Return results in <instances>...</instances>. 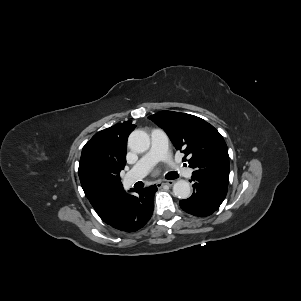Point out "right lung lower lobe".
<instances>
[{
  "mask_svg": "<svg viewBox=\"0 0 301 301\" xmlns=\"http://www.w3.org/2000/svg\"><path fill=\"white\" fill-rule=\"evenodd\" d=\"M137 195H131L125 191L109 216L104 219L112 227L125 231L134 232L142 228L150 219L154 208V194L156 185L142 189H131Z\"/></svg>",
  "mask_w": 301,
  "mask_h": 301,
  "instance_id": "98d812e1",
  "label": "right lung lower lobe"
}]
</instances>
